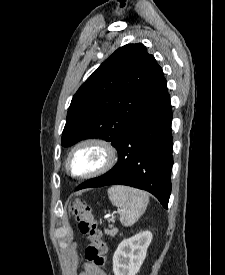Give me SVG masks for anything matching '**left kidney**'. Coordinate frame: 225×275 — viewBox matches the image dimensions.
<instances>
[{
    "label": "left kidney",
    "mask_w": 225,
    "mask_h": 275,
    "mask_svg": "<svg viewBox=\"0 0 225 275\" xmlns=\"http://www.w3.org/2000/svg\"><path fill=\"white\" fill-rule=\"evenodd\" d=\"M151 241L152 233L148 231L123 240L113 255L114 275H136Z\"/></svg>",
    "instance_id": "5707ae66"
}]
</instances>
